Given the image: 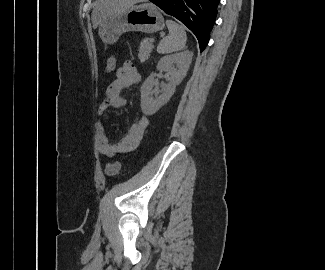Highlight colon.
<instances>
[{
  "mask_svg": "<svg viewBox=\"0 0 325 270\" xmlns=\"http://www.w3.org/2000/svg\"><path fill=\"white\" fill-rule=\"evenodd\" d=\"M117 64H118V62H117L116 57H114V56L108 57V59L106 61V71L108 73L115 72L117 69ZM120 168H121V164L119 162H114V163L108 164L106 166L105 173L108 176H113L119 172Z\"/></svg>",
  "mask_w": 325,
  "mask_h": 270,
  "instance_id": "obj_1",
  "label": "colon"
}]
</instances>
